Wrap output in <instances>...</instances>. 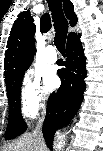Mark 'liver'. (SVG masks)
I'll use <instances>...</instances> for the list:
<instances>
[{
	"mask_svg": "<svg viewBox=\"0 0 103 151\" xmlns=\"http://www.w3.org/2000/svg\"><path fill=\"white\" fill-rule=\"evenodd\" d=\"M45 143L42 135L36 132L24 134L15 142L2 148V151H44Z\"/></svg>",
	"mask_w": 103,
	"mask_h": 151,
	"instance_id": "liver-1",
	"label": "liver"
}]
</instances>
